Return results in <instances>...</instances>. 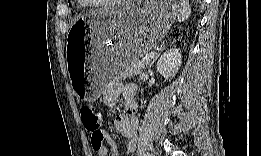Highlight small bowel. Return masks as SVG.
<instances>
[{
  "label": "small bowel",
  "mask_w": 261,
  "mask_h": 156,
  "mask_svg": "<svg viewBox=\"0 0 261 156\" xmlns=\"http://www.w3.org/2000/svg\"><path fill=\"white\" fill-rule=\"evenodd\" d=\"M121 90L124 97V107L127 115H118L115 119L116 131L124 138V153L130 155L134 152L137 140H138V129L139 120L136 116L137 104L134 99L136 87L134 85H126L122 89L111 85L107 87L104 92L103 99L104 103L109 107H115L117 104V95ZM103 140L108 144L107 148L101 144L97 148H93L96 155L98 156H117L118 151L114 140L106 134H103ZM102 140V141H103Z\"/></svg>",
  "instance_id": "obj_1"
}]
</instances>
